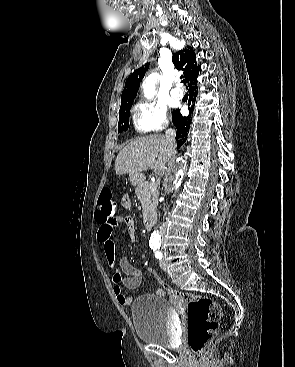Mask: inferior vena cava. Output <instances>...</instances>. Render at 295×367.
<instances>
[{"instance_id": "602c4592", "label": "inferior vena cava", "mask_w": 295, "mask_h": 367, "mask_svg": "<svg viewBox=\"0 0 295 367\" xmlns=\"http://www.w3.org/2000/svg\"><path fill=\"white\" fill-rule=\"evenodd\" d=\"M175 136H176V132L173 129H168L165 133V138L168 142V146L171 149L175 148Z\"/></svg>"}]
</instances>
